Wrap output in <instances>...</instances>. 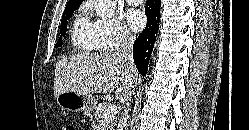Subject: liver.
Masks as SVG:
<instances>
[{"instance_id": "liver-1", "label": "liver", "mask_w": 249, "mask_h": 130, "mask_svg": "<svg viewBox=\"0 0 249 130\" xmlns=\"http://www.w3.org/2000/svg\"><path fill=\"white\" fill-rule=\"evenodd\" d=\"M138 81L137 71L129 76L115 53H81L56 63L54 97L63 92L111 93L124 102Z\"/></svg>"}]
</instances>
